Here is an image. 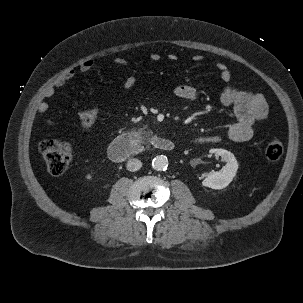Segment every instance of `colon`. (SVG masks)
Listing matches in <instances>:
<instances>
[{"label":"colon","mask_w":303,"mask_h":303,"mask_svg":"<svg viewBox=\"0 0 303 303\" xmlns=\"http://www.w3.org/2000/svg\"><path fill=\"white\" fill-rule=\"evenodd\" d=\"M99 112L98 106L90 107L79 115L81 127L88 129L94 123ZM39 152L43 156L48 171L53 175L63 174L73 159L71 145L61 139H43L38 145ZM283 154V144L280 139L270 140L265 149L268 161L275 162Z\"/></svg>","instance_id":"5ec220e1"}]
</instances>
